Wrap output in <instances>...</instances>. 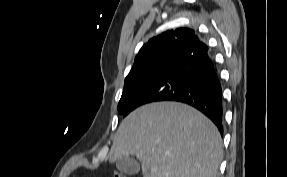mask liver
Returning <instances> with one entry per match:
<instances>
[{
  "label": "liver",
  "mask_w": 287,
  "mask_h": 177,
  "mask_svg": "<svg viewBox=\"0 0 287 177\" xmlns=\"http://www.w3.org/2000/svg\"><path fill=\"white\" fill-rule=\"evenodd\" d=\"M136 156L143 177H217L223 158L216 126L177 102L141 106L120 124L109 161Z\"/></svg>",
  "instance_id": "6515ba94"
}]
</instances>
